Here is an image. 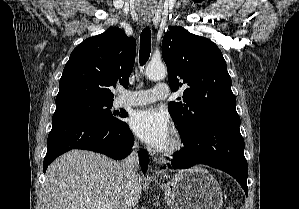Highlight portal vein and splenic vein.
<instances>
[{
	"mask_svg": "<svg viewBox=\"0 0 299 209\" xmlns=\"http://www.w3.org/2000/svg\"><path fill=\"white\" fill-rule=\"evenodd\" d=\"M89 204L94 206L95 209H112V206L110 204L100 201H92Z\"/></svg>",
	"mask_w": 299,
	"mask_h": 209,
	"instance_id": "1",
	"label": "portal vein and splenic vein"
}]
</instances>
